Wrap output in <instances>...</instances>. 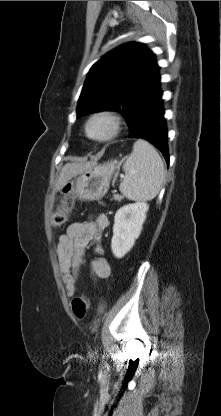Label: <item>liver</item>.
I'll return each instance as SVG.
<instances>
[{
    "label": "liver",
    "mask_w": 221,
    "mask_h": 416,
    "mask_svg": "<svg viewBox=\"0 0 221 416\" xmlns=\"http://www.w3.org/2000/svg\"><path fill=\"white\" fill-rule=\"evenodd\" d=\"M95 164V162L66 163L59 175L55 190H61L72 177L83 173L84 171L95 166Z\"/></svg>",
    "instance_id": "1"
}]
</instances>
